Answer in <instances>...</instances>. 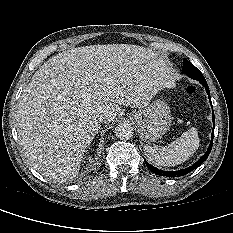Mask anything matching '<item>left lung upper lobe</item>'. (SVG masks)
<instances>
[{"label":"left lung upper lobe","instance_id":"left-lung-upper-lobe-1","mask_svg":"<svg viewBox=\"0 0 233 233\" xmlns=\"http://www.w3.org/2000/svg\"><path fill=\"white\" fill-rule=\"evenodd\" d=\"M183 72L195 80H205L202 73L187 59H183Z\"/></svg>","mask_w":233,"mask_h":233}]
</instances>
